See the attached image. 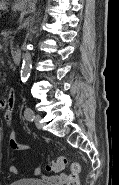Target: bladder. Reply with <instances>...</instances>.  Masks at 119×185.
I'll return each mask as SVG.
<instances>
[{
  "label": "bladder",
  "instance_id": "1",
  "mask_svg": "<svg viewBox=\"0 0 119 185\" xmlns=\"http://www.w3.org/2000/svg\"><path fill=\"white\" fill-rule=\"evenodd\" d=\"M9 185H46L42 181L34 178H23L11 182Z\"/></svg>",
  "mask_w": 119,
  "mask_h": 185
}]
</instances>
